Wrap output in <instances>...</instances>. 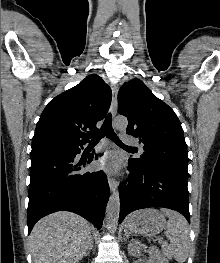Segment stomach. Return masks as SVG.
Returning <instances> with one entry per match:
<instances>
[{
	"instance_id": "stomach-1",
	"label": "stomach",
	"mask_w": 220,
	"mask_h": 263,
	"mask_svg": "<svg viewBox=\"0 0 220 263\" xmlns=\"http://www.w3.org/2000/svg\"><path fill=\"white\" fill-rule=\"evenodd\" d=\"M166 227L165 216L156 209H144L130 214L126 230L133 234L156 235Z\"/></svg>"
}]
</instances>
